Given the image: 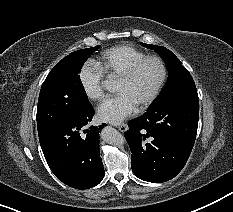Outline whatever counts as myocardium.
Here are the masks:
<instances>
[{
  "label": "myocardium",
  "instance_id": "f54148a6",
  "mask_svg": "<svg viewBox=\"0 0 233 212\" xmlns=\"http://www.w3.org/2000/svg\"><path fill=\"white\" fill-rule=\"evenodd\" d=\"M156 61L160 67V77L159 80L156 84V86L154 87L153 91L150 93V95L138 106L140 109H144L147 108L148 106H150L155 99L158 97L159 93L161 92L166 79H167V66L165 61L157 56V55H146L138 60H136L135 62H133L127 69L126 71L121 74L119 77L120 79L124 80V81H129L131 80L135 74L137 73V71L139 70V68L147 61Z\"/></svg>",
  "mask_w": 233,
  "mask_h": 212
}]
</instances>
